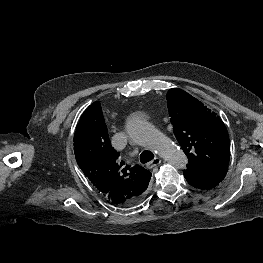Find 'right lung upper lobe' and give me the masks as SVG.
Wrapping results in <instances>:
<instances>
[{
    "instance_id": "cb5924a9",
    "label": "right lung upper lobe",
    "mask_w": 263,
    "mask_h": 263,
    "mask_svg": "<svg viewBox=\"0 0 263 263\" xmlns=\"http://www.w3.org/2000/svg\"><path fill=\"white\" fill-rule=\"evenodd\" d=\"M73 141L75 158L84 175L113 204L128 206L147 189L151 173L120 160L110 143L99 101L82 114Z\"/></svg>"
}]
</instances>
